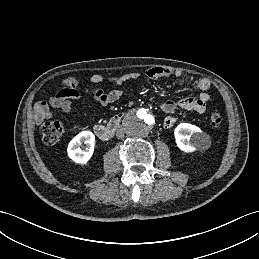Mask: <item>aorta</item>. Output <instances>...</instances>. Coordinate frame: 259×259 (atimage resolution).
<instances>
[{
	"label": "aorta",
	"instance_id": "aorta-1",
	"mask_svg": "<svg viewBox=\"0 0 259 259\" xmlns=\"http://www.w3.org/2000/svg\"><path fill=\"white\" fill-rule=\"evenodd\" d=\"M155 124V118L148 109H138L124 119L126 133L132 138H143L149 134Z\"/></svg>",
	"mask_w": 259,
	"mask_h": 259
}]
</instances>
